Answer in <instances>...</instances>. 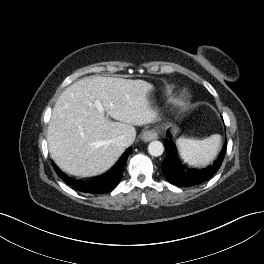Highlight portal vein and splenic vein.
Listing matches in <instances>:
<instances>
[{"label":"portal vein and splenic vein","mask_w":264,"mask_h":264,"mask_svg":"<svg viewBox=\"0 0 264 264\" xmlns=\"http://www.w3.org/2000/svg\"><path fill=\"white\" fill-rule=\"evenodd\" d=\"M94 106L97 108L99 113H101V114L104 113V108H103V105L101 104L100 100L96 99L94 102Z\"/></svg>","instance_id":"portal-vein-and-splenic-vein-1"}]
</instances>
